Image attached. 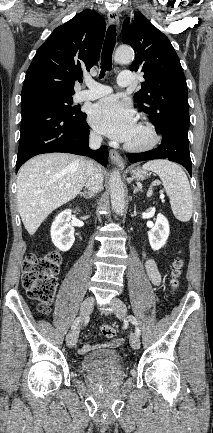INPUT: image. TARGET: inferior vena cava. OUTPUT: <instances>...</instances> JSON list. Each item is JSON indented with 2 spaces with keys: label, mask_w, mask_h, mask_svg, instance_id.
<instances>
[{
  "label": "inferior vena cava",
  "mask_w": 213,
  "mask_h": 433,
  "mask_svg": "<svg viewBox=\"0 0 213 433\" xmlns=\"http://www.w3.org/2000/svg\"><path fill=\"white\" fill-rule=\"evenodd\" d=\"M101 142L102 137L100 135L91 133L89 144L92 149H98ZM85 187L88 189L91 197L98 193L103 187V175L99 167L91 160L87 163Z\"/></svg>",
  "instance_id": "obj_1"
}]
</instances>
